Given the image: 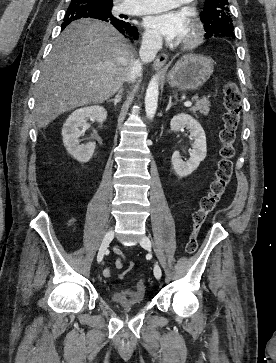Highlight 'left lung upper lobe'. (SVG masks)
<instances>
[{"label":"left lung upper lobe","mask_w":276,"mask_h":363,"mask_svg":"<svg viewBox=\"0 0 276 363\" xmlns=\"http://www.w3.org/2000/svg\"><path fill=\"white\" fill-rule=\"evenodd\" d=\"M228 0H205L201 21L204 24L206 38H235L233 20L228 7Z\"/></svg>","instance_id":"obj_1"}]
</instances>
